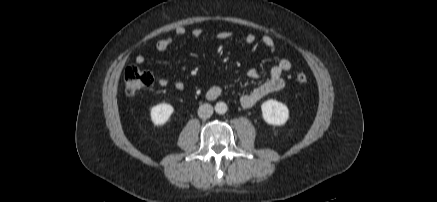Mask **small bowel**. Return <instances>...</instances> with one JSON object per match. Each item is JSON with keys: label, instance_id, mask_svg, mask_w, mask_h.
Listing matches in <instances>:
<instances>
[{"label": "small bowel", "instance_id": "1", "mask_svg": "<svg viewBox=\"0 0 437 202\" xmlns=\"http://www.w3.org/2000/svg\"><path fill=\"white\" fill-rule=\"evenodd\" d=\"M186 34V30L182 26H178L173 29L172 35L157 40L150 44L148 47L153 48L159 52L167 50L177 39L183 37ZM192 36L196 39L204 37V31L201 28H195L192 31ZM233 36L231 31H221L214 35L217 40L229 39ZM245 41L248 44H253L256 41V36L254 34H248L245 37ZM262 45L271 53L276 50V44L274 39L269 35H264L261 38ZM146 58L144 55L139 54L135 58L137 64H143ZM291 69V62L288 59H280L270 70L269 77L261 83L259 86L254 88L252 91L245 93L240 98V103L244 108H250L259 102L262 98L270 93L279 91L284 88L285 81L283 79V74ZM248 77L251 79H258L259 72L256 69H250L247 73ZM159 84L162 87H168L172 85L176 90H183L184 85L182 82L176 81L171 83L167 79H159ZM220 94V88L218 86H213L208 90V96L210 98H216Z\"/></svg>", "mask_w": 437, "mask_h": 202}]
</instances>
